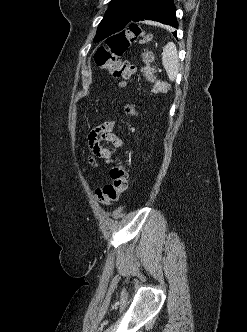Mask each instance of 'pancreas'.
Wrapping results in <instances>:
<instances>
[{
    "label": "pancreas",
    "instance_id": "1",
    "mask_svg": "<svg viewBox=\"0 0 247 332\" xmlns=\"http://www.w3.org/2000/svg\"><path fill=\"white\" fill-rule=\"evenodd\" d=\"M157 88H158V84L155 85V87L152 91L155 92Z\"/></svg>",
    "mask_w": 247,
    "mask_h": 332
}]
</instances>
